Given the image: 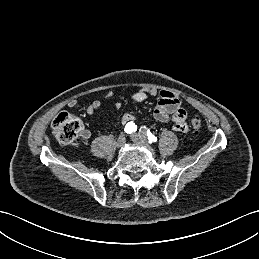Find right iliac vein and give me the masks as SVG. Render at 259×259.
<instances>
[{
  "label": "right iliac vein",
  "instance_id": "63e3f726",
  "mask_svg": "<svg viewBox=\"0 0 259 259\" xmlns=\"http://www.w3.org/2000/svg\"><path fill=\"white\" fill-rule=\"evenodd\" d=\"M125 142H126V137L124 134H121L116 141V146L122 147L125 144Z\"/></svg>",
  "mask_w": 259,
  "mask_h": 259
}]
</instances>
